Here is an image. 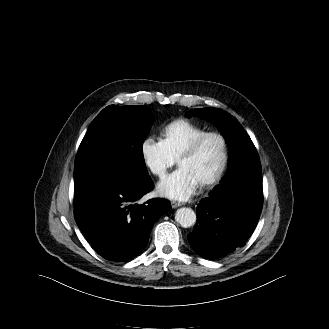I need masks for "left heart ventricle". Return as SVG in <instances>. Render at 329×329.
I'll use <instances>...</instances> for the list:
<instances>
[{"instance_id": "left-heart-ventricle-1", "label": "left heart ventricle", "mask_w": 329, "mask_h": 329, "mask_svg": "<svg viewBox=\"0 0 329 329\" xmlns=\"http://www.w3.org/2000/svg\"><path fill=\"white\" fill-rule=\"evenodd\" d=\"M222 159V144L216 137L207 138L191 157L183 159L179 167L185 168L199 183L218 169Z\"/></svg>"}]
</instances>
